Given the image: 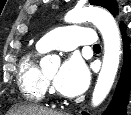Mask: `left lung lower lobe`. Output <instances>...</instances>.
Segmentation results:
<instances>
[{"instance_id": "left-lung-lower-lobe-1", "label": "left lung lower lobe", "mask_w": 131, "mask_h": 115, "mask_svg": "<svg viewBox=\"0 0 131 115\" xmlns=\"http://www.w3.org/2000/svg\"><path fill=\"white\" fill-rule=\"evenodd\" d=\"M120 28L124 45L123 66L113 99L103 115H127L126 105L128 103L129 90L131 89V50L129 48L131 39L124 34L125 24L121 23ZM83 115L88 114L84 112Z\"/></svg>"}]
</instances>
